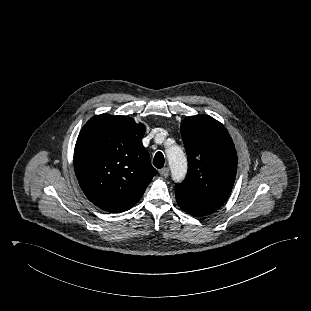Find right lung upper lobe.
<instances>
[{"instance_id": "right-lung-upper-lobe-1", "label": "right lung upper lobe", "mask_w": 311, "mask_h": 311, "mask_svg": "<svg viewBox=\"0 0 311 311\" xmlns=\"http://www.w3.org/2000/svg\"><path fill=\"white\" fill-rule=\"evenodd\" d=\"M143 124L127 116L101 114L82 128L74 169L86 197L110 213L127 211L144 194L157 170L141 139Z\"/></svg>"}]
</instances>
